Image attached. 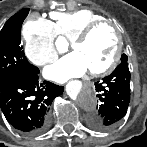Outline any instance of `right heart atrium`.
Listing matches in <instances>:
<instances>
[{
  "instance_id": "d8ad5b80",
  "label": "right heart atrium",
  "mask_w": 147,
  "mask_h": 147,
  "mask_svg": "<svg viewBox=\"0 0 147 147\" xmlns=\"http://www.w3.org/2000/svg\"><path fill=\"white\" fill-rule=\"evenodd\" d=\"M25 54L29 61L42 67L53 62L58 55L53 23L39 16L28 19L22 29Z\"/></svg>"
}]
</instances>
